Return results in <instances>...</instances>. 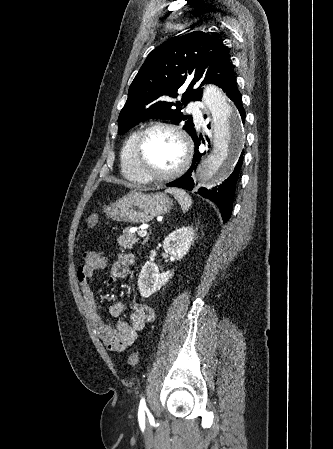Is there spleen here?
Listing matches in <instances>:
<instances>
[{
  "label": "spleen",
  "mask_w": 333,
  "mask_h": 449,
  "mask_svg": "<svg viewBox=\"0 0 333 449\" xmlns=\"http://www.w3.org/2000/svg\"><path fill=\"white\" fill-rule=\"evenodd\" d=\"M166 192H168L169 194H172L174 196V198L181 205L183 212L188 211L189 208L192 206V203H193L192 198L184 190L179 189V188H168V189H166Z\"/></svg>",
  "instance_id": "3e777b00"
}]
</instances>
